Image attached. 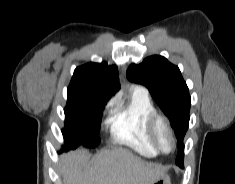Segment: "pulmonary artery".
<instances>
[{
	"label": "pulmonary artery",
	"mask_w": 235,
	"mask_h": 184,
	"mask_svg": "<svg viewBox=\"0 0 235 184\" xmlns=\"http://www.w3.org/2000/svg\"><path fill=\"white\" fill-rule=\"evenodd\" d=\"M133 90L140 94V95H145L147 96L148 95V89L145 87V86H141V85H135L133 86Z\"/></svg>",
	"instance_id": "obj_1"
}]
</instances>
